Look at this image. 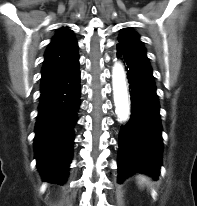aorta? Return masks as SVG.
I'll use <instances>...</instances> for the list:
<instances>
[{
	"label": "aorta",
	"instance_id": "aorta-1",
	"mask_svg": "<svg viewBox=\"0 0 197 206\" xmlns=\"http://www.w3.org/2000/svg\"><path fill=\"white\" fill-rule=\"evenodd\" d=\"M112 86L115 103V112L118 121L124 122L129 117L130 106L128 92L125 80V72L122 64L116 62L112 70Z\"/></svg>",
	"mask_w": 197,
	"mask_h": 206
}]
</instances>
